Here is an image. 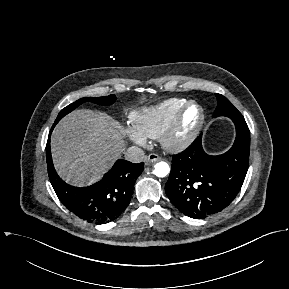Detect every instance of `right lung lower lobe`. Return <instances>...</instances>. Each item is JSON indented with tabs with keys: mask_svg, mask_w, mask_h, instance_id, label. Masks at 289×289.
I'll list each match as a JSON object with an SVG mask.
<instances>
[{
	"mask_svg": "<svg viewBox=\"0 0 289 289\" xmlns=\"http://www.w3.org/2000/svg\"><path fill=\"white\" fill-rule=\"evenodd\" d=\"M46 159L49 179L59 200L78 217L99 224L116 219L127 207L135 180L144 169L143 163L133 164L120 159L102 180L91 186L79 188L65 183L56 173L51 159L49 139L46 145Z\"/></svg>",
	"mask_w": 289,
	"mask_h": 289,
	"instance_id": "98d812e1",
	"label": "right lung lower lobe"
}]
</instances>
